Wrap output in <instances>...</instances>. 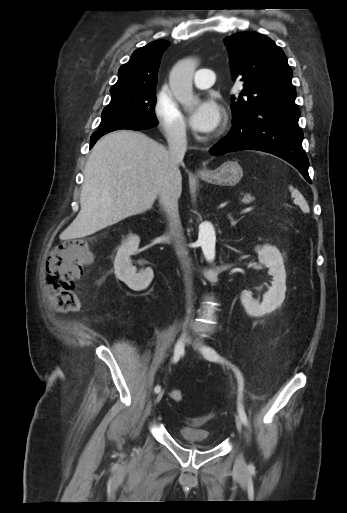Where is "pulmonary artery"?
I'll use <instances>...</instances> for the list:
<instances>
[{
  "label": "pulmonary artery",
  "instance_id": "1",
  "mask_svg": "<svg viewBox=\"0 0 347 513\" xmlns=\"http://www.w3.org/2000/svg\"><path fill=\"white\" fill-rule=\"evenodd\" d=\"M216 75L213 70L199 69L194 76V84L199 89H206L213 85Z\"/></svg>",
  "mask_w": 347,
  "mask_h": 513
}]
</instances>
